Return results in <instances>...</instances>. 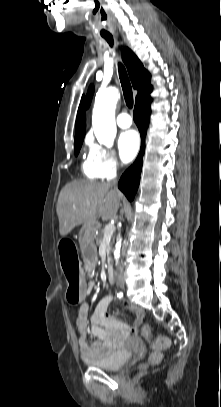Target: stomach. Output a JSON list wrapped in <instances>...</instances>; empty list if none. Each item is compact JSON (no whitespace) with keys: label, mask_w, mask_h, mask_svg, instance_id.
I'll list each match as a JSON object with an SVG mask.
<instances>
[{"label":"stomach","mask_w":221,"mask_h":407,"mask_svg":"<svg viewBox=\"0 0 221 407\" xmlns=\"http://www.w3.org/2000/svg\"><path fill=\"white\" fill-rule=\"evenodd\" d=\"M85 227L91 229V228H94L95 226L88 224V225H86ZM85 250H86V248H83V257H84L85 267H86V268H89V267L92 265V263L89 262V261L87 260V258L85 257V254H84V253H85Z\"/></svg>","instance_id":"1"}]
</instances>
